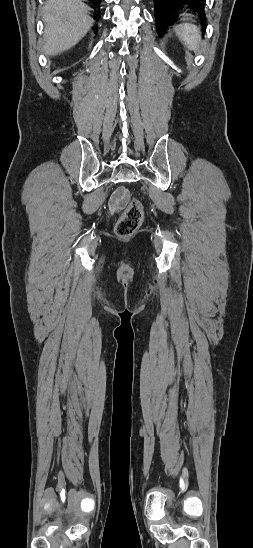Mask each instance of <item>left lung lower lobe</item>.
Returning a JSON list of instances; mask_svg holds the SVG:
<instances>
[{"instance_id":"0a47b994","label":"left lung lower lobe","mask_w":253,"mask_h":548,"mask_svg":"<svg viewBox=\"0 0 253 548\" xmlns=\"http://www.w3.org/2000/svg\"><path fill=\"white\" fill-rule=\"evenodd\" d=\"M155 4V18L157 31L163 35L169 25L172 24V16L181 8H190L200 13L202 26H205V0H153Z\"/></svg>"}]
</instances>
